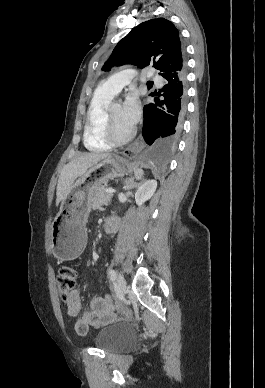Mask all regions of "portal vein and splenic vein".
<instances>
[{
	"label": "portal vein and splenic vein",
	"instance_id": "portal-vein-and-splenic-vein-1",
	"mask_svg": "<svg viewBox=\"0 0 265 388\" xmlns=\"http://www.w3.org/2000/svg\"><path fill=\"white\" fill-rule=\"evenodd\" d=\"M105 192H107V194H114V192H116V190H112V188H107V190H105Z\"/></svg>",
	"mask_w": 265,
	"mask_h": 388
}]
</instances>
